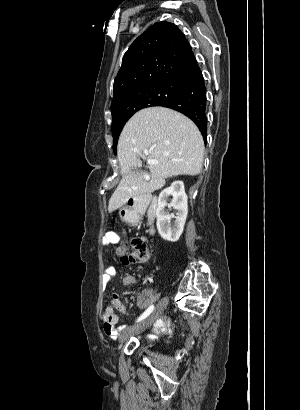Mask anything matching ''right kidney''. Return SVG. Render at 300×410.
I'll use <instances>...</instances> for the list:
<instances>
[{
	"instance_id": "obj_1",
	"label": "right kidney",
	"mask_w": 300,
	"mask_h": 410,
	"mask_svg": "<svg viewBox=\"0 0 300 410\" xmlns=\"http://www.w3.org/2000/svg\"><path fill=\"white\" fill-rule=\"evenodd\" d=\"M170 196H172V201L169 204L167 200ZM187 200L184 183L180 180L174 181L159 194L156 209L157 229L164 240L170 242L179 240L188 214ZM166 207H173L177 211L172 225L171 219L173 217L165 211Z\"/></svg>"
}]
</instances>
